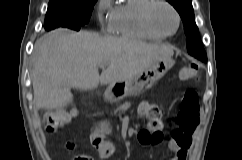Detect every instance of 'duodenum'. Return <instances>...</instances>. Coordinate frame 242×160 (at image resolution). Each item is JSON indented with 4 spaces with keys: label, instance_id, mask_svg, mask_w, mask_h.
I'll use <instances>...</instances> for the list:
<instances>
[{
    "label": "duodenum",
    "instance_id": "obj_1",
    "mask_svg": "<svg viewBox=\"0 0 242 160\" xmlns=\"http://www.w3.org/2000/svg\"><path fill=\"white\" fill-rule=\"evenodd\" d=\"M106 96H112V95H114V92L111 90V89H109L107 92H106V94H105ZM94 133H103L104 132V129L100 126V125H95V127H94Z\"/></svg>",
    "mask_w": 242,
    "mask_h": 160
}]
</instances>
